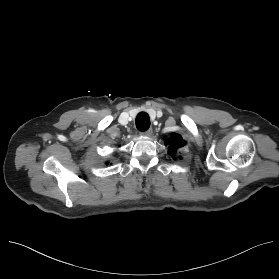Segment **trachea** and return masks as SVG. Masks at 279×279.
Here are the masks:
<instances>
[{"label": "trachea", "instance_id": "obj_1", "mask_svg": "<svg viewBox=\"0 0 279 279\" xmlns=\"http://www.w3.org/2000/svg\"><path fill=\"white\" fill-rule=\"evenodd\" d=\"M136 127L139 131H146L150 127V118L147 113L141 112L136 117Z\"/></svg>", "mask_w": 279, "mask_h": 279}]
</instances>
